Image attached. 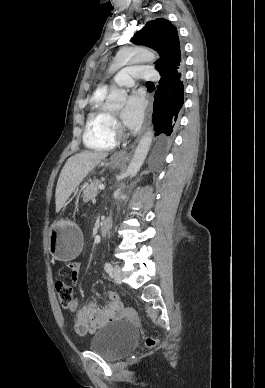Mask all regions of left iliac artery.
I'll return each instance as SVG.
<instances>
[{
    "label": "left iliac artery",
    "instance_id": "44dca946",
    "mask_svg": "<svg viewBox=\"0 0 265 388\" xmlns=\"http://www.w3.org/2000/svg\"><path fill=\"white\" fill-rule=\"evenodd\" d=\"M105 270H106L107 273H112V271H113V266L111 265V263L107 262V263L105 264Z\"/></svg>",
    "mask_w": 265,
    "mask_h": 388
}]
</instances>
